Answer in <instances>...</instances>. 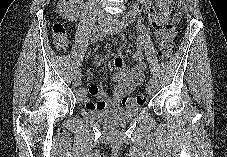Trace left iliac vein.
Instances as JSON below:
<instances>
[{
    "label": "left iliac vein",
    "mask_w": 227,
    "mask_h": 157,
    "mask_svg": "<svg viewBox=\"0 0 227 157\" xmlns=\"http://www.w3.org/2000/svg\"><path fill=\"white\" fill-rule=\"evenodd\" d=\"M120 29H121V23H120V22H117V23H116V26L112 27V28L110 29L109 33L112 34V33L118 32V31H120ZM146 91H147V94H148V95H153L154 92H155L154 83H153V84H150V83H149V84L147 85Z\"/></svg>",
    "instance_id": "left-iliac-vein-1"
}]
</instances>
